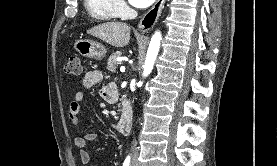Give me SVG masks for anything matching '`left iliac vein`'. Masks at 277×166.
<instances>
[{"label":"left iliac vein","mask_w":277,"mask_h":166,"mask_svg":"<svg viewBox=\"0 0 277 166\" xmlns=\"http://www.w3.org/2000/svg\"><path fill=\"white\" fill-rule=\"evenodd\" d=\"M131 166H136L134 162H132Z\"/></svg>","instance_id":"obj_1"}]
</instances>
